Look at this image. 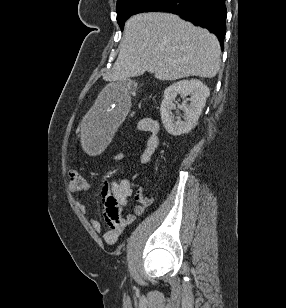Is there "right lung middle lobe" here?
Segmentation results:
<instances>
[{
  "label": "right lung middle lobe",
  "instance_id": "dd1d6c3e",
  "mask_svg": "<svg viewBox=\"0 0 286 308\" xmlns=\"http://www.w3.org/2000/svg\"><path fill=\"white\" fill-rule=\"evenodd\" d=\"M168 0H121L117 2V21L121 29L124 22L131 15L153 11Z\"/></svg>",
  "mask_w": 286,
  "mask_h": 308
}]
</instances>
